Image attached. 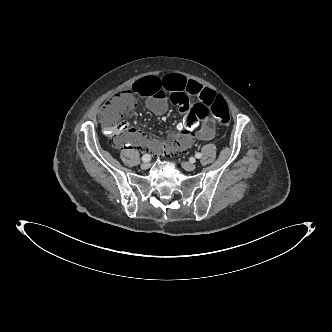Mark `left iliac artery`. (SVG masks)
Instances as JSON below:
<instances>
[{
  "label": "left iliac artery",
  "instance_id": "1",
  "mask_svg": "<svg viewBox=\"0 0 332 332\" xmlns=\"http://www.w3.org/2000/svg\"><path fill=\"white\" fill-rule=\"evenodd\" d=\"M195 157H196L197 159H200V158L202 157V154H201V153H196V154H195Z\"/></svg>",
  "mask_w": 332,
  "mask_h": 332
}]
</instances>
